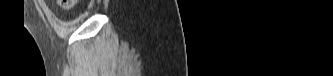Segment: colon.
<instances>
[{"mask_svg":"<svg viewBox=\"0 0 333 76\" xmlns=\"http://www.w3.org/2000/svg\"><path fill=\"white\" fill-rule=\"evenodd\" d=\"M58 5L62 8V9H72L75 4H76V0H58Z\"/></svg>","mask_w":333,"mask_h":76,"instance_id":"colon-1","label":"colon"}]
</instances>
